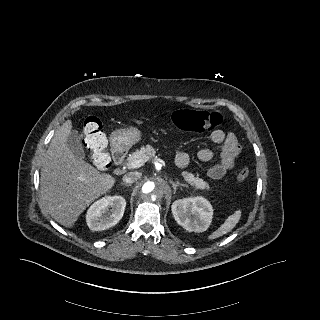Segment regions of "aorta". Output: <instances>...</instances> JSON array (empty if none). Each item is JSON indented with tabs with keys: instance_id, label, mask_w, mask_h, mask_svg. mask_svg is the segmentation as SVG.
I'll return each instance as SVG.
<instances>
[{
	"instance_id": "aorta-1",
	"label": "aorta",
	"mask_w": 320,
	"mask_h": 320,
	"mask_svg": "<svg viewBox=\"0 0 320 320\" xmlns=\"http://www.w3.org/2000/svg\"><path fill=\"white\" fill-rule=\"evenodd\" d=\"M169 192L168 184L160 177L152 178L141 186V194L145 201L156 202Z\"/></svg>"
}]
</instances>
